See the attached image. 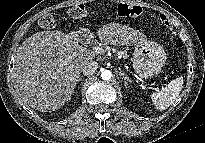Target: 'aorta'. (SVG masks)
Wrapping results in <instances>:
<instances>
[{"label": "aorta", "instance_id": "obj_1", "mask_svg": "<svg viewBox=\"0 0 205 143\" xmlns=\"http://www.w3.org/2000/svg\"><path fill=\"white\" fill-rule=\"evenodd\" d=\"M111 77H112V73H111L110 70H103V71L101 72V78H102L103 80H110Z\"/></svg>", "mask_w": 205, "mask_h": 143}]
</instances>
